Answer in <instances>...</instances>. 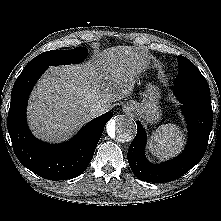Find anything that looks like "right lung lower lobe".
Returning <instances> with one entry per match:
<instances>
[{
  "label": "right lung lower lobe",
  "mask_w": 221,
  "mask_h": 221,
  "mask_svg": "<svg viewBox=\"0 0 221 221\" xmlns=\"http://www.w3.org/2000/svg\"><path fill=\"white\" fill-rule=\"evenodd\" d=\"M48 66H26L14 83L7 128L18 160L26 168L49 180L79 176L88 167L107 121V112L83 127L69 142L50 145L37 140L26 123L28 96Z\"/></svg>",
  "instance_id": "obj_1"
}]
</instances>
